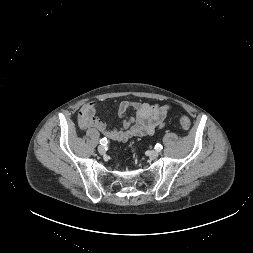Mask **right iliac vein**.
I'll return each instance as SVG.
<instances>
[{"label": "right iliac vein", "mask_w": 253, "mask_h": 253, "mask_svg": "<svg viewBox=\"0 0 253 253\" xmlns=\"http://www.w3.org/2000/svg\"><path fill=\"white\" fill-rule=\"evenodd\" d=\"M98 152L100 153V154H105V148L103 147V146H98Z\"/></svg>", "instance_id": "63e3f726"}]
</instances>
